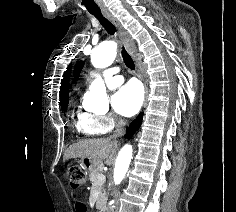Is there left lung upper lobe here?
<instances>
[{"label":"left lung upper lobe","mask_w":236,"mask_h":212,"mask_svg":"<svg viewBox=\"0 0 236 212\" xmlns=\"http://www.w3.org/2000/svg\"><path fill=\"white\" fill-rule=\"evenodd\" d=\"M83 62L82 61H80V62H78L77 63V65L75 66V69H74V77L76 78V79H78V77H79V74H80V72H81V70H82V68H83Z\"/></svg>","instance_id":"left-lung-upper-lobe-1"}]
</instances>
